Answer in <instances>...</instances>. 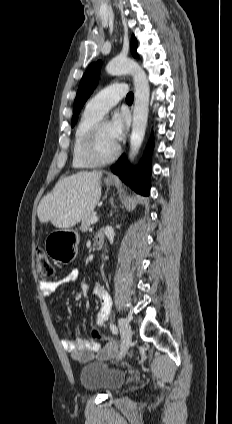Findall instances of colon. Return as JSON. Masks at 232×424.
Masks as SVG:
<instances>
[{
	"instance_id": "1",
	"label": "colon",
	"mask_w": 232,
	"mask_h": 424,
	"mask_svg": "<svg viewBox=\"0 0 232 424\" xmlns=\"http://www.w3.org/2000/svg\"><path fill=\"white\" fill-rule=\"evenodd\" d=\"M36 258V268L37 272L41 277H51L53 275V266L48 260V257L43 249H37L35 251ZM92 337L95 339L100 338V343L104 345H108L111 349H114L117 346V343L113 340L112 337L104 336L101 337L99 331L97 329H93Z\"/></svg>"
}]
</instances>
